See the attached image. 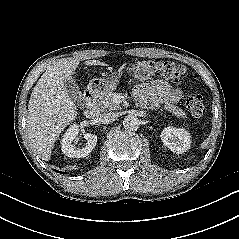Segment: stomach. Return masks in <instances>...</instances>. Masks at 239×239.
Instances as JSON below:
<instances>
[{
  "instance_id": "stomach-1",
  "label": "stomach",
  "mask_w": 239,
  "mask_h": 239,
  "mask_svg": "<svg viewBox=\"0 0 239 239\" xmlns=\"http://www.w3.org/2000/svg\"><path fill=\"white\" fill-rule=\"evenodd\" d=\"M120 74L114 73L110 78H94L90 80L88 88L97 94L107 93L116 88Z\"/></svg>"
}]
</instances>
